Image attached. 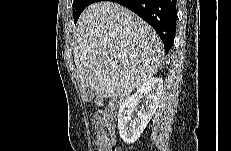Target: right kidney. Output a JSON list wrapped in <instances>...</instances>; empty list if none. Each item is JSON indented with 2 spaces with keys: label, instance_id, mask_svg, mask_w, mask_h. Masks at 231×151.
<instances>
[{
  "label": "right kidney",
  "instance_id": "right-kidney-1",
  "mask_svg": "<svg viewBox=\"0 0 231 151\" xmlns=\"http://www.w3.org/2000/svg\"><path fill=\"white\" fill-rule=\"evenodd\" d=\"M162 91V79L152 77L143 83L135 94L121 103L118 111V129L120 137L125 143L133 144L139 139L158 107ZM143 98H145V102L142 104L137 118L132 119L131 115L135 106Z\"/></svg>",
  "mask_w": 231,
  "mask_h": 151
}]
</instances>
